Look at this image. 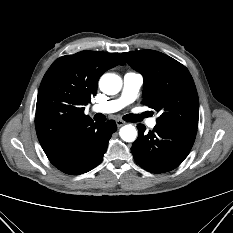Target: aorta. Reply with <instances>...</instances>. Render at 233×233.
I'll return each instance as SVG.
<instances>
[{"label": "aorta", "mask_w": 233, "mask_h": 233, "mask_svg": "<svg viewBox=\"0 0 233 233\" xmlns=\"http://www.w3.org/2000/svg\"><path fill=\"white\" fill-rule=\"evenodd\" d=\"M100 90L108 95H114L121 90L122 80L118 75L107 73L99 81ZM120 137L126 142H133L137 137L136 128L132 125H125L120 129Z\"/></svg>", "instance_id": "obj_1"}]
</instances>
